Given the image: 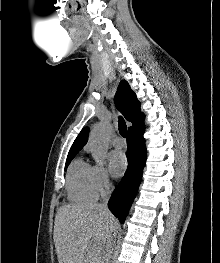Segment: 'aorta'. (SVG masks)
I'll use <instances>...</instances> for the list:
<instances>
[{"instance_id": "obj_1", "label": "aorta", "mask_w": 220, "mask_h": 263, "mask_svg": "<svg viewBox=\"0 0 220 263\" xmlns=\"http://www.w3.org/2000/svg\"><path fill=\"white\" fill-rule=\"evenodd\" d=\"M110 129L111 127L108 123L102 122L95 128L91 136L93 157L96 164L101 166L107 157Z\"/></svg>"}]
</instances>
